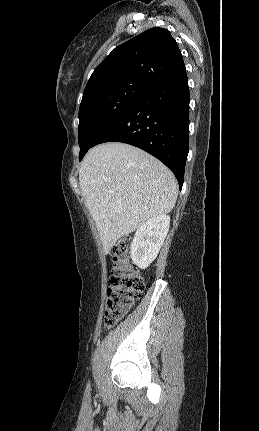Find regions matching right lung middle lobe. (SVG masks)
<instances>
[{
    "label": "right lung middle lobe",
    "instance_id": "1",
    "mask_svg": "<svg viewBox=\"0 0 259 431\" xmlns=\"http://www.w3.org/2000/svg\"><path fill=\"white\" fill-rule=\"evenodd\" d=\"M148 88L139 84H127L92 94L81 101L79 109V146L81 160L97 137Z\"/></svg>",
    "mask_w": 259,
    "mask_h": 431
}]
</instances>
